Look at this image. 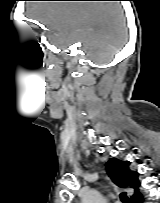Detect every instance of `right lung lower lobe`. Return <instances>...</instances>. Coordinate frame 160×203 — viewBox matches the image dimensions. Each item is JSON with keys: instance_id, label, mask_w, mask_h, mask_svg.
<instances>
[{"instance_id": "right-lung-lower-lobe-1", "label": "right lung lower lobe", "mask_w": 160, "mask_h": 203, "mask_svg": "<svg viewBox=\"0 0 160 203\" xmlns=\"http://www.w3.org/2000/svg\"><path fill=\"white\" fill-rule=\"evenodd\" d=\"M137 203H143V198L141 196V198L139 199V201H137Z\"/></svg>"}]
</instances>
